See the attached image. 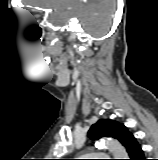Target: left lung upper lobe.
<instances>
[{
	"instance_id": "left-lung-upper-lobe-1",
	"label": "left lung upper lobe",
	"mask_w": 158,
	"mask_h": 160,
	"mask_svg": "<svg viewBox=\"0 0 158 160\" xmlns=\"http://www.w3.org/2000/svg\"><path fill=\"white\" fill-rule=\"evenodd\" d=\"M130 134L124 124L113 120L100 119L91 126L88 137L92 140H97L101 137H113L124 145Z\"/></svg>"
}]
</instances>
